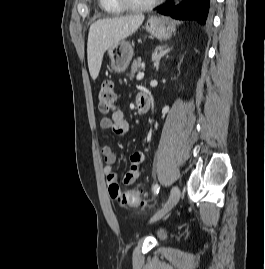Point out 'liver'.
I'll return each mask as SVG.
<instances>
[{
	"label": "liver",
	"mask_w": 265,
	"mask_h": 269,
	"mask_svg": "<svg viewBox=\"0 0 265 269\" xmlns=\"http://www.w3.org/2000/svg\"><path fill=\"white\" fill-rule=\"evenodd\" d=\"M143 21L144 15L139 14L99 19L90 26L87 59L93 80L99 75L105 51L135 33Z\"/></svg>",
	"instance_id": "obj_1"
}]
</instances>
